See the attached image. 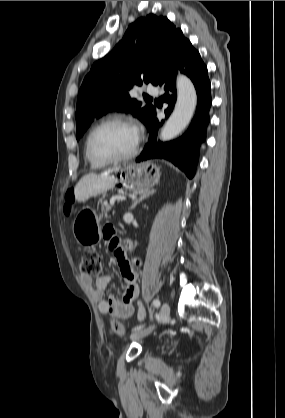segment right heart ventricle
Listing matches in <instances>:
<instances>
[{"instance_id":"1","label":"right heart ventricle","mask_w":285,"mask_h":418,"mask_svg":"<svg viewBox=\"0 0 285 418\" xmlns=\"http://www.w3.org/2000/svg\"><path fill=\"white\" fill-rule=\"evenodd\" d=\"M84 152H85V157H86V159L88 160V162H89V164H90L91 168H93V169H100V168H102V167H104V166H105V165H103V164H99V163H96V162L92 161V160L88 157L87 152H86V149L84 150Z\"/></svg>"}]
</instances>
